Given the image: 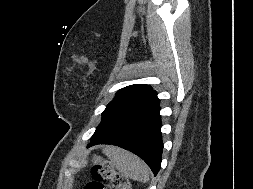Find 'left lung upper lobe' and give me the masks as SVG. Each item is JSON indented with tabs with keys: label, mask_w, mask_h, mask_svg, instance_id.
I'll return each mask as SVG.
<instances>
[{
	"label": "left lung upper lobe",
	"mask_w": 253,
	"mask_h": 189,
	"mask_svg": "<svg viewBox=\"0 0 253 189\" xmlns=\"http://www.w3.org/2000/svg\"><path fill=\"white\" fill-rule=\"evenodd\" d=\"M159 104L156 92L145 84L122 88L102 113V120L93 136L107 133Z\"/></svg>",
	"instance_id": "left-lung-upper-lobe-1"
}]
</instances>
